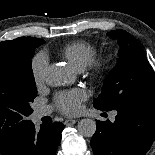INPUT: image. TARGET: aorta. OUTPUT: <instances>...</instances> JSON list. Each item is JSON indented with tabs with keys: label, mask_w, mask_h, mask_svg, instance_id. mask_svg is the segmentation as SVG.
<instances>
[{
	"label": "aorta",
	"mask_w": 155,
	"mask_h": 155,
	"mask_svg": "<svg viewBox=\"0 0 155 155\" xmlns=\"http://www.w3.org/2000/svg\"><path fill=\"white\" fill-rule=\"evenodd\" d=\"M72 79V73L67 65L57 63L50 65L45 71V81L49 86L58 87L67 84ZM79 134L85 137H92L96 132L94 120L86 118L78 122Z\"/></svg>",
	"instance_id": "aorta-1"
}]
</instances>
